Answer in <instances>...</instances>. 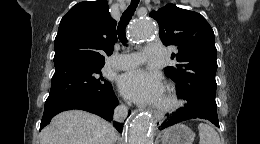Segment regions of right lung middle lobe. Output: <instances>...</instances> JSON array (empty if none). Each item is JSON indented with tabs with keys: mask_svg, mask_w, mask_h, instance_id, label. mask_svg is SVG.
I'll return each instance as SVG.
<instances>
[{
	"mask_svg": "<svg viewBox=\"0 0 260 144\" xmlns=\"http://www.w3.org/2000/svg\"><path fill=\"white\" fill-rule=\"evenodd\" d=\"M103 65L70 64L55 69L46 101L64 98H95L113 91L102 77Z\"/></svg>",
	"mask_w": 260,
	"mask_h": 144,
	"instance_id": "dd1d6c3e",
	"label": "right lung middle lobe"
}]
</instances>
